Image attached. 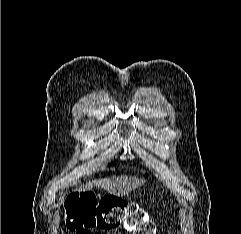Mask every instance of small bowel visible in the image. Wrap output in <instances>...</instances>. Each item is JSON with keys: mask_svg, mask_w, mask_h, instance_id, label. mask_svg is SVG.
I'll return each instance as SVG.
<instances>
[{"mask_svg": "<svg viewBox=\"0 0 241 234\" xmlns=\"http://www.w3.org/2000/svg\"><path fill=\"white\" fill-rule=\"evenodd\" d=\"M76 234H93V233L89 230H80ZM95 234H99V233H95Z\"/></svg>", "mask_w": 241, "mask_h": 234, "instance_id": "obj_1", "label": "small bowel"}]
</instances>
